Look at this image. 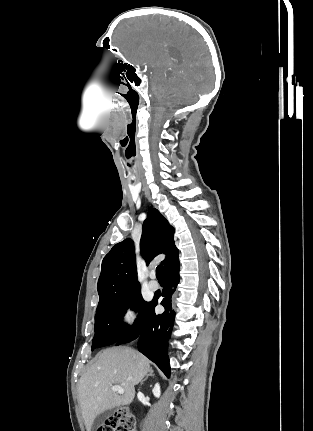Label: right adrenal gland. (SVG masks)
<instances>
[{
    "instance_id": "right-adrenal-gland-1",
    "label": "right adrenal gland",
    "mask_w": 313,
    "mask_h": 431,
    "mask_svg": "<svg viewBox=\"0 0 313 431\" xmlns=\"http://www.w3.org/2000/svg\"><path fill=\"white\" fill-rule=\"evenodd\" d=\"M150 376H154L153 370L152 368H150V370L148 371L147 375L145 376V378L143 380H141L140 385L143 384L144 381H146Z\"/></svg>"
}]
</instances>
